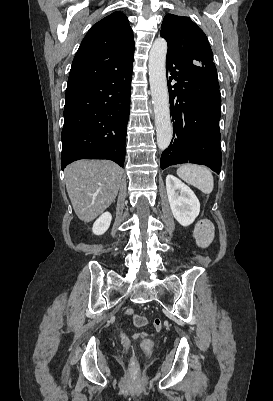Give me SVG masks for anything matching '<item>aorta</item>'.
<instances>
[{"mask_svg":"<svg viewBox=\"0 0 273 401\" xmlns=\"http://www.w3.org/2000/svg\"><path fill=\"white\" fill-rule=\"evenodd\" d=\"M167 42L157 38L149 53V82L155 115L157 145L160 150L169 147L172 140L169 95L166 81Z\"/></svg>","mask_w":273,"mask_h":401,"instance_id":"1","label":"aorta"}]
</instances>
